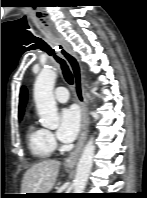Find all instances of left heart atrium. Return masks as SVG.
I'll list each match as a JSON object with an SVG mask.
<instances>
[{
	"mask_svg": "<svg viewBox=\"0 0 147 198\" xmlns=\"http://www.w3.org/2000/svg\"><path fill=\"white\" fill-rule=\"evenodd\" d=\"M81 117L76 106L65 107L60 112V122L57 136L63 142H70L77 136L80 129Z\"/></svg>",
	"mask_w": 147,
	"mask_h": 198,
	"instance_id": "39dd6f15",
	"label": "left heart atrium"
}]
</instances>
